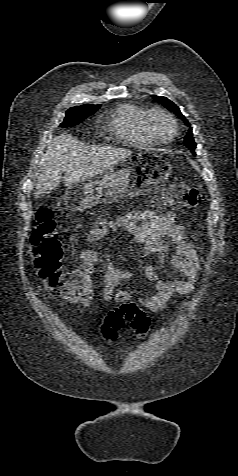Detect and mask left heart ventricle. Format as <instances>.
Segmentation results:
<instances>
[{
	"label": "left heart ventricle",
	"instance_id": "1",
	"mask_svg": "<svg viewBox=\"0 0 238 476\" xmlns=\"http://www.w3.org/2000/svg\"><path fill=\"white\" fill-rule=\"evenodd\" d=\"M153 128L157 136L161 139L169 138L173 131V126L170 120L162 115H158L153 119Z\"/></svg>",
	"mask_w": 238,
	"mask_h": 476
}]
</instances>
